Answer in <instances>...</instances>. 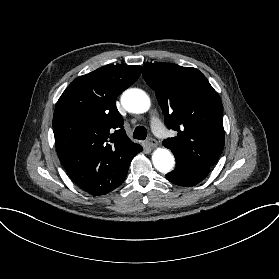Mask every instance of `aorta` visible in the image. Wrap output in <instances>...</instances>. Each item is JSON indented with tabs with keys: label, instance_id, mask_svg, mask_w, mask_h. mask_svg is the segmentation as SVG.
<instances>
[{
	"label": "aorta",
	"instance_id": "aorta-1",
	"mask_svg": "<svg viewBox=\"0 0 279 279\" xmlns=\"http://www.w3.org/2000/svg\"><path fill=\"white\" fill-rule=\"evenodd\" d=\"M121 104L130 113H145L149 110L151 102L149 96L141 89L131 88L123 92ZM154 167L161 173L167 174L173 170L175 159L166 148H157L152 154Z\"/></svg>",
	"mask_w": 279,
	"mask_h": 279
}]
</instances>
